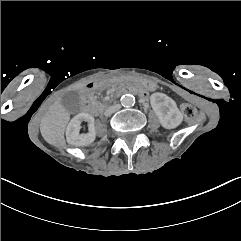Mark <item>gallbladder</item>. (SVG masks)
Masks as SVG:
<instances>
[{"instance_id":"gallbladder-1","label":"gallbladder","mask_w":241,"mask_h":241,"mask_svg":"<svg viewBox=\"0 0 241 241\" xmlns=\"http://www.w3.org/2000/svg\"><path fill=\"white\" fill-rule=\"evenodd\" d=\"M63 108L72 115H77L82 110V102L77 91H69L62 97Z\"/></svg>"}]
</instances>
